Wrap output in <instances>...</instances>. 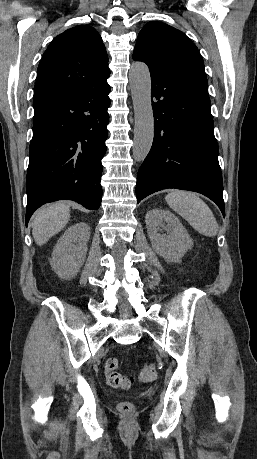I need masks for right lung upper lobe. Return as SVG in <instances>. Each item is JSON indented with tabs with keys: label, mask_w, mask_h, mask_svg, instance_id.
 <instances>
[{
	"label": "right lung upper lobe",
	"mask_w": 257,
	"mask_h": 459,
	"mask_svg": "<svg viewBox=\"0 0 257 459\" xmlns=\"http://www.w3.org/2000/svg\"><path fill=\"white\" fill-rule=\"evenodd\" d=\"M110 76L108 56L97 31L68 29L48 46L38 66L34 105L94 88Z\"/></svg>",
	"instance_id": "obj_1"
}]
</instances>
